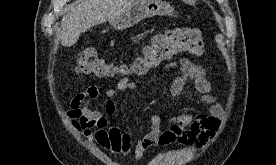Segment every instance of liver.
Returning a JSON list of instances; mask_svg holds the SVG:
<instances>
[{
	"instance_id": "1",
	"label": "liver",
	"mask_w": 276,
	"mask_h": 165,
	"mask_svg": "<svg viewBox=\"0 0 276 165\" xmlns=\"http://www.w3.org/2000/svg\"><path fill=\"white\" fill-rule=\"evenodd\" d=\"M134 0H84L61 20L60 40L65 47L74 45L81 33L110 21L133 4Z\"/></svg>"
}]
</instances>
